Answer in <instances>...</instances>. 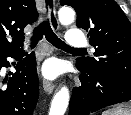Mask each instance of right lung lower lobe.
<instances>
[{"label":"right lung lower lobe","instance_id":"98d812e1","mask_svg":"<svg viewBox=\"0 0 131 115\" xmlns=\"http://www.w3.org/2000/svg\"><path fill=\"white\" fill-rule=\"evenodd\" d=\"M20 49L0 55V69L8 67L7 57L16 58L20 64L7 81L0 82V115H32L39 95V82L36 72L35 55L24 56ZM7 81V83H6ZM6 83V85H5Z\"/></svg>","mask_w":131,"mask_h":115}]
</instances>
